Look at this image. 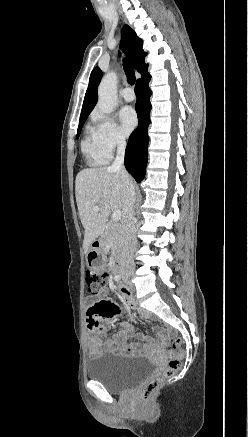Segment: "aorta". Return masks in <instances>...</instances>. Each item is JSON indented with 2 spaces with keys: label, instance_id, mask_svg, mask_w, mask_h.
Wrapping results in <instances>:
<instances>
[{
  "label": "aorta",
  "instance_id": "1",
  "mask_svg": "<svg viewBox=\"0 0 248 437\" xmlns=\"http://www.w3.org/2000/svg\"><path fill=\"white\" fill-rule=\"evenodd\" d=\"M117 103V75L107 73L98 87V105L103 113L110 114Z\"/></svg>",
  "mask_w": 248,
  "mask_h": 437
}]
</instances>
